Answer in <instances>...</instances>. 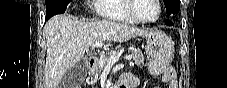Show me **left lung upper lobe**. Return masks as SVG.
<instances>
[{"label":"left lung upper lobe","mask_w":227,"mask_h":88,"mask_svg":"<svg viewBox=\"0 0 227 88\" xmlns=\"http://www.w3.org/2000/svg\"><path fill=\"white\" fill-rule=\"evenodd\" d=\"M166 13L168 15L178 13L180 10V1L179 0H163Z\"/></svg>","instance_id":"obj_1"}]
</instances>
